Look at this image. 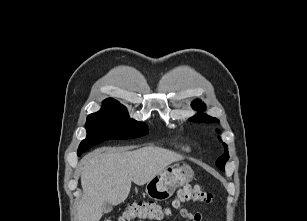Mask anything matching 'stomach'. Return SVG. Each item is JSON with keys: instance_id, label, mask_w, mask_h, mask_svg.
Masks as SVG:
<instances>
[{"instance_id": "1", "label": "stomach", "mask_w": 307, "mask_h": 221, "mask_svg": "<svg viewBox=\"0 0 307 221\" xmlns=\"http://www.w3.org/2000/svg\"><path fill=\"white\" fill-rule=\"evenodd\" d=\"M193 178L194 172L189 165H170L147 182L145 191L151 199L166 200L177 187L189 183Z\"/></svg>"}]
</instances>
